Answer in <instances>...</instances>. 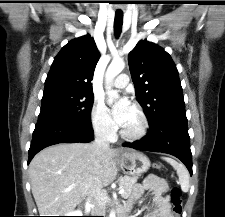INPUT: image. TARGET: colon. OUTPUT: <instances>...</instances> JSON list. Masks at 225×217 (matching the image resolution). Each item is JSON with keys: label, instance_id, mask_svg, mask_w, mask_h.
Segmentation results:
<instances>
[{"label": "colon", "instance_id": "obj_1", "mask_svg": "<svg viewBox=\"0 0 225 217\" xmlns=\"http://www.w3.org/2000/svg\"><path fill=\"white\" fill-rule=\"evenodd\" d=\"M156 167L160 168L161 166L156 165ZM168 202L171 205L173 213L176 215V217H178L182 212L181 191L179 188L174 187L171 190Z\"/></svg>", "mask_w": 225, "mask_h": 217}]
</instances>
